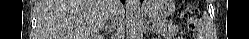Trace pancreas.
<instances>
[{
    "mask_svg": "<svg viewBox=\"0 0 249 39\" xmlns=\"http://www.w3.org/2000/svg\"><path fill=\"white\" fill-rule=\"evenodd\" d=\"M156 31L167 36H174L178 33L179 28L174 25H167L163 21H157L154 23L153 27Z\"/></svg>",
    "mask_w": 249,
    "mask_h": 39,
    "instance_id": "obj_1",
    "label": "pancreas"
}]
</instances>
